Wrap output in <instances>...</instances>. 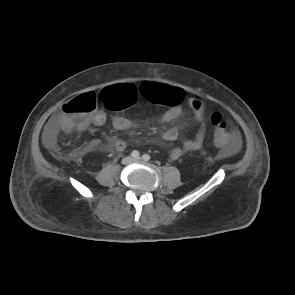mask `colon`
<instances>
[{
  "label": "colon",
  "mask_w": 295,
  "mask_h": 295,
  "mask_svg": "<svg viewBox=\"0 0 295 295\" xmlns=\"http://www.w3.org/2000/svg\"><path fill=\"white\" fill-rule=\"evenodd\" d=\"M140 93L153 103L175 105L181 102L180 92L170 86L157 83H144L138 90L134 85L119 83L104 88L99 95L86 93L77 96L62 106L59 126L69 132L77 129L98 105L110 111H120L133 105ZM214 141L218 145L232 146L238 134L232 124L223 120L221 114L213 113Z\"/></svg>",
  "instance_id": "1"
}]
</instances>
